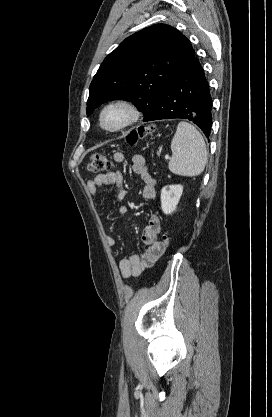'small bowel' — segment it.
Returning a JSON list of instances; mask_svg holds the SVG:
<instances>
[{
    "label": "small bowel",
    "mask_w": 272,
    "mask_h": 417,
    "mask_svg": "<svg viewBox=\"0 0 272 417\" xmlns=\"http://www.w3.org/2000/svg\"><path fill=\"white\" fill-rule=\"evenodd\" d=\"M114 160L118 163H123L126 157L121 152L114 154ZM132 168L134 172L141 178L143 182L142 196L146 200H151L156 195L157 180L152 175L145 158L142 155H134L132 157ZM105 185L117 186V199L122 200L125 195L123 188V175L120 171L107 172L99 174L87 181L86 186L91 195L96 196L98 190ZM121 214L127 212L126 207H120ZM161 220L158 215H151L142 232V241L147 246L142 255L130 254L119 262V270L123 277L140 275L145 269L152 267L158 258L164 253L166 248L160 244L158 236L161 232ZM106 241L108 245L114 246L116 244L115 238L107 236Z\"/></svg>",
    "instance_id": "1"
}]
</instances>
